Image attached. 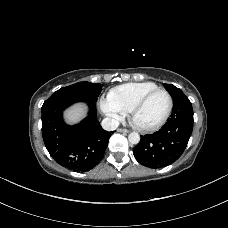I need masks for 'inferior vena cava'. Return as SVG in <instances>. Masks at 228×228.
Listing matches in <instances>:
<instances>
[{"instance_id":"obj_1","label":"inferior vena cava","mask_w":228,"mask_h":228,"mask_svg":"<svg viewBox=\"0 0 228 228\" xmlns=\"http://www.w3.org/2000/svg\"><path fill=\"white\" fill-rule=\"evenodd\" d=\"M101 126L106 131L116 130L119 126V122L113 118H104L101 122Z\"/></svg>"}]
</instances>
